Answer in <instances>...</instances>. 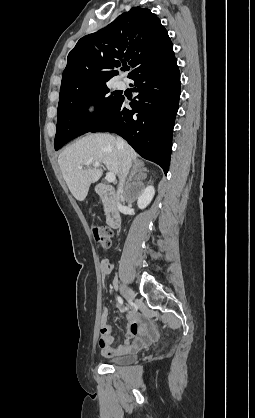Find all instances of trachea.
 <instances>
[{
  "mask_svg": "<svg viewBox=\"0 0 255 418\" xmlns=\"http://www.w3.org/2000/svg\"><path fill=\"white\" fill-rule=\"evenodd\" d=\"M128 69H129L128 67H125V68H124V70H128Z\"/></svg>",
  "mask_w": 255,
  "mask_h": 418,
  "instance_id": "1",
  "label": "trachea"
}]
</instances>
